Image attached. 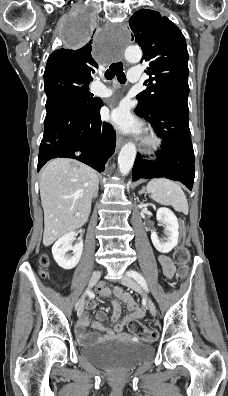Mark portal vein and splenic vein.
Here are the masks:
<instances>
[{"label":"portal vein and splenic vein","mask_w":228,"mask_h":396,"mask_svg":"<svg viewBox=\"0 0 228 396\" xmlns=\"http://www.w3.org/2000/svg\"><path fill=\"white\" fill-rule=\"evenodd\" d=\"M80 215V213H76V216H79Z\"/></svg>","instance_id":"portal-vein-and-splenic-vein-1"}]
</instances>
